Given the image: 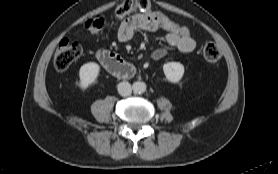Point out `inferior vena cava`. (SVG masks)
I'll return each instance as SVG.
<instances>
[{
	"label": "inferior vena cava",
	"mask_w": 278,
	"mask_h": 174,
	"mask_svg": "<svg viewBox=\"0 0 278 174\" xmlns=\"http://www.w3.org/2000/svg\"><path fill=\"white\" fill-rule=\"evenodd\" d=\"M118 92L121 96H129L132 93V86L129 82L123 81L118 84Z\"/></svg>",
	"instance_id": "obj_1"
}]
</instances>
